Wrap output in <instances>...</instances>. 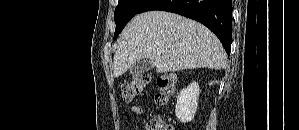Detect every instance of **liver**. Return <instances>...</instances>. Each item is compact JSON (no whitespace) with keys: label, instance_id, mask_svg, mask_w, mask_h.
<instances>
[{"label":"liver","instance_id":"6515ba94","mask_svg":"<svg viewBox=\"0 0 299 130\" xmlns=\"http://www.w3.org/2000/svg\"><path fill=\"white\" fill-rule=\"evenodd\" d=\"M145 58L158 73L227 66L223 46L208 28L165 11L138 14L127 24L117 43L113 75L124 74Z\"/></svg>","mask_w":299,"mask_h":130}]
</instances>
